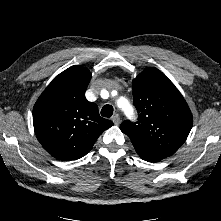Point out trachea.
<instances>
[{
  "mask_svg": "<svg viewBox=\"0 0 221 221\" xmlns=\"http://www.w3.org/2000/svg\"><path fill=\"white\" fill-rule=\"evenodd\" d=\"M113 111V107L107 104L101 109V115L103 117L110 118L113 115Z\"/></svg>",
  "mask_w": 221,
  "mask_h": 221,
  "instance_id": "trachea-1",
  "label": "trachea"
}]
</instances>
